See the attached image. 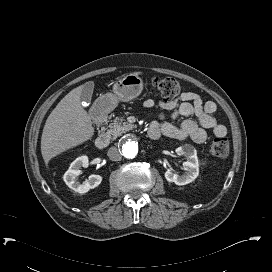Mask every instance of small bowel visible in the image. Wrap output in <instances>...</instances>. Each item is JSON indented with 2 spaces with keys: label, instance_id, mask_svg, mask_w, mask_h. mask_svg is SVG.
<instances>
[{
  "label": "small bowel",
  "instance_id": "1",
  "mask_svg": "<svg viewBox=\"0 0 272 272\" xmlns=\"http://www.w3.org/2000/svg\"><path fill=\"white\" fill-rule=\"evenodd\" d=\"M143 106L153 108L155 101L147 99ZM159 106L166 110L174 109L175 115L185 117L178 127L162 115L159 116L158 120H154L151 125L157 126L164 136L178 140L190 138L197 143H204L209 130L217 137H224L227 134L226 127L214 117L216 104L212 101L203 102L196 93L184 92L174 101L159 102ZM191 117H195L197 121Z\"/></svg>",
  "mask_w": 272,
  "mask_h": 272
}]
</instances>
